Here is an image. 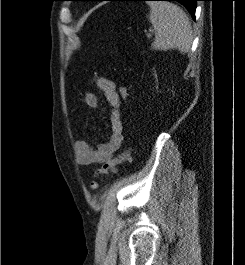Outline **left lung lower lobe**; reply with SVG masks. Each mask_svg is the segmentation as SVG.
<instances>
[{
	"label": "left lung lower lobe",
	"mask_w": 245,
	"mask_h": 265,
	"mask_svg": "<svg viewBox=\"0 0 245 265\" xmlns=\"http://www.w3.org/2000/svg\"><path fill=\"white\" fill-rule=\"evenodd\" d=\"M84 1H150V0H84ZM165 1H178L183 4L188 11L191 13L192 17L195 18L196 2L200 0H165Z\"/></svg>",
	"instance_id": "1"
}]
</instances>
